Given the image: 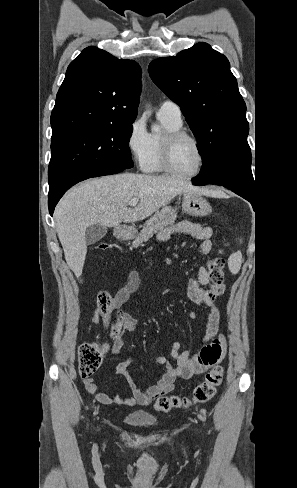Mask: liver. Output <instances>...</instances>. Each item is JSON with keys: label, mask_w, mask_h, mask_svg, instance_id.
<instances>
[{"label": "liver", "mask_w": 297, "mask_h": 488, "mask_svg": "<svg viewBox=\"0 0 297 488\" xmlns=\"http://www.w3.org/2000/svg\"><path fill=\"white\" fill-rule=\"evenodd\" d=\"M210 191L193 186L173 176H149L121 173L87 180L69 190L56 206V231L69 268L82 275L89 226L100 224L117 228L122 222L132 223L151 216L168 205L178 194ZM139 204L129 208L131 199Z\"/></svg>", "instance_id": "1"}]
</instances>
